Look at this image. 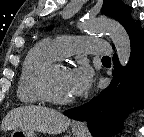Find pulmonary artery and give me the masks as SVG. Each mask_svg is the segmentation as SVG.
<instances>
[{
    "instance_id": "pulmonary-artery-1",
    "label": "pulmonary artery",
    "mask_w": 144,
    "mask_h": 137,
    "mask_svg": "<svg viewBox=\"0 0 144 137\" xmlns=\"http://www.w3.org/2000/svg\"><path fill=\"white\" fill-rule=\"evenodd\" d=\"M58 57L69 56L77 52L108 55L111 53L106 41L78 36H59L52 41Z\"/></svg>"
}]
</instances>
